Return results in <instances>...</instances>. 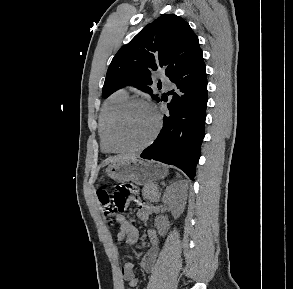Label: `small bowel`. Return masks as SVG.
I'll return each mask as SVG.
<instances>
[{"instance_id": "small-bowel-1", "label": "small bowel", "mask_w": 293, "mask_h": 289, "mask_svg": "<svg viewBox=\"0 0 293 289\" xmlns=\"http://www.w3.org/2000/svg\"><path fill=\"white\" fill-rule=\"evenodd\" d=\"M138 204V216L141 220L146 222L152 213V207L143 203ZM116 219L120 225L119 231L116 235L117 242L135 244L139 238V233L136 227L133 226L121 213L116 215ZM147 237L150 242V246L140 264L145 272H151L155 267L156 259L159 254L158 237L154 229L147 230ZM121 277L131 288L137 287L138 279L135 276L134 266L131 262H126L122 266Z\"/></svg>"}]
</instances>
